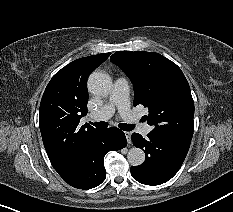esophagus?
Here are the masks:
<instances>
[{
	"label": "esophagus",
	"mask_w": 233,
	"mask_h": 212,
	"mask_svg": "<svg viewBox=\"0 0 233 212\" xmlns=\"http://www.w3.org/2000/svg\"><path fill=\"white\" fill-rule=\"evenodd\" d=\"M125 136H126V139H127V142L130 144L131 143V133L130 132H125Z\"/></svg>",
	"instance_id": "esophagus-1"
}]
</instances>
